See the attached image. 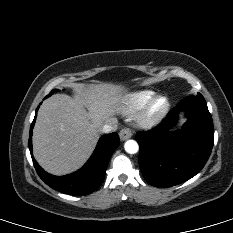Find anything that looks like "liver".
<instances>
[{
	"label": "liver",
	"instance_id": "liver-1",
	"mask_svg": "<svg viewBox=\"0 0 233 233\" xmlns=\"http://www.w3.org/2000/svg\"><path fill=\"white\" fill-rule=\"evenodd\" d=\"M125 89L114 84H89L77 98L55 94L38 111L33 130V154L54 175L79 169L90 157L101 127L116 114Z\"/></svg>",
	"mask_w": 233,
	"mask_h": 233
}]
</instances>
